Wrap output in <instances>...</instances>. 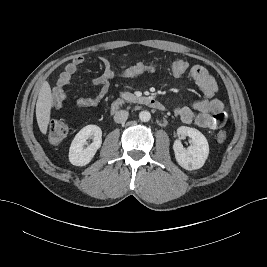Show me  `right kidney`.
<instances>
[{
	"label": "right kidney",
	"mask_w": 267,
	"mask_h": 267,
	"mask_svg": "<svg viewBox=\"0 0 267 267\" xmlns=\"http://www.w3.org/2000/svg\"><path fill=\"white\" fill-rule=\"evenodd\" d=\"M92 138L93 142L87 145V139ZM102 144V131L97 125H87L82 128L74 137L69 149V161L75 166H85L94 157Z\"/></svg>",
	"instance_id": "ca27d5eb"
}]
</instances>
